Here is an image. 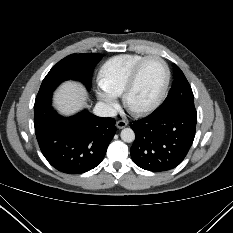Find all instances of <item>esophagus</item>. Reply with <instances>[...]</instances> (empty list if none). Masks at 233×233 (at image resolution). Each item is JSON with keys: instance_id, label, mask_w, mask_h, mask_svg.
<instances>
[{"instance_id": "34e87169", "label": "esophagus", "mask_w": 233, "mask_h": 233, "mask_svg": "<svg viewBox=\"0 0 233 233\" xmlns=\"http://www.w3.org/2000/svg\"><path fill=\"white\" fill-rule=\"evenodd\" d=\"M116 126L117 128L122 129L127 126V122L125 120H118Z\"/></svg>"}]
</instances>
